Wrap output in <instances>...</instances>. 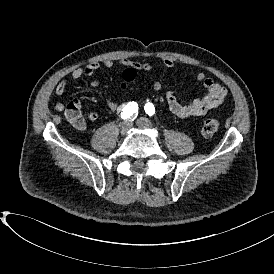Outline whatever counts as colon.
I'll use <instances>...</instances> for the list:
<instances>
[{"label":"colon","mask_w":274,"mask_h":274,"mask_svg":"<svg viewBox=\"0 0 274 274\" xmlns=\"http://www.w3.org/2000/svg\"><path fill=\"white\" fill-rule=\"evenodd\" d=\"M137 69L135 68H129L127 69L123 77L125 80H119L117 82V89L119 91H126L128 89V82L132 81L137 77ZM127 80V81H126ZM65 115L67 119L70 121V123L75 128H80L83 125V117L80 113V106L76 102H70L65 106ZM219 129V122L215 118H207L203 121L202 124V133L206 136H210L215 134Z\"/></svg>","instance_id":"1"}]
</instances>
